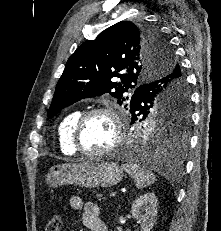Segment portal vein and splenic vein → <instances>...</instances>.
Here are the masks:
<instances>
[{
	"mask_svg": "<svg viewBox=\"0 0 221 231\" xmlns=\"http://www.w3.org/2000/svg\"><path fill=\"white\" fill-rule=\"evenodd\" d=\"M110 197H116V192H112V193H110Z\"/></svg>",
	"mask_w": 221,
	"mask_h": 231,
	"instance_id": "1",
	"label": "portal vein and splenic vein"
}]
</instances>
